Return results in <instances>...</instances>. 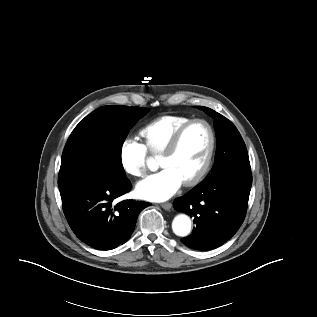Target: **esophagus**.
Listing matches in <instances>:
<instances>
[{
	"label": "esophagus",
	"mask_w": 317,
	"mask_h": 317,
	"mask_svg": "<svg viewBox=\"0 0 317 317\" xmlns=\"http://www.w3.org/2000/svg\"><path fill=\"white\" fill-rule=\"evenodd\" d=\"M161 207L165 210H170L172 208V203L170 202L162 203Z\"/></svg>",
	"instance_id": "esophagus-1"
}]
</instances>
